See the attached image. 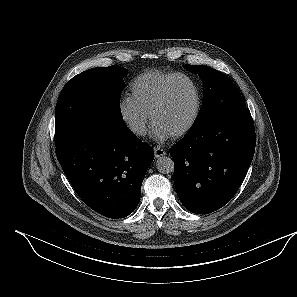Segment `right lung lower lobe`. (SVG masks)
Masks as SVG:
<instances>
[{
	"label": "right lung lower lobe",
	"instance_id": "right-lung-lower-lobe-1",
	"mask_svg": "<svg viewBox=\"0 0 297 297\" xmlns=\"http://www.w3.org/2000/svg\"><path fill=\"white\" fill-rule=\"evenodd\" d=\"M57 158L83 202L106 217L118 219L136 209L154 153L123 120L92 118L57 147Z\"/></svg>",
	"mask_w": 297,
	"mask_h": 297
}]
</instances>
